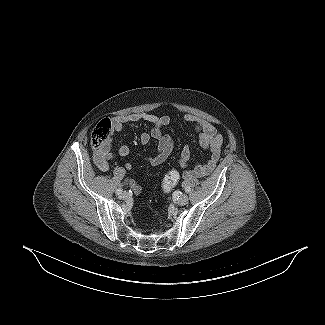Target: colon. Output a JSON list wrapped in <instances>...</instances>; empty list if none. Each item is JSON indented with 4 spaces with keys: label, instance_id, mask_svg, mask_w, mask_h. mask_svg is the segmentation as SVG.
Wrapping results in <instances>:
<instances>
[{
    "label": "colon",
    "instance_id": "colon-1",
    "mask_svg": "<svg viewBox=\"0 0 325 325\" xmlns=\"http://www.w3.org/2000/svg\"><path fill=\"white\" fill-rule=\"evenodd\" d=\"M112 131V124L110 120L104 119L100 121L93 129L90 137L91 146L95 149L101 148L110 137ZM180 174L177 170H169L163 178V189L170 192L173 187L178 183Z\"/></svg>",
    "mask_w": 325,
    "mask_h": 325
}]
</instances>
